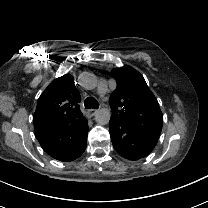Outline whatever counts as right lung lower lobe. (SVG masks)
<instances>
[{
    "instance_id": "right-lung-lower-lobe-1",
    "label": "right lung lower lobe",
    "mask_w": 208,
    "mask_h": 208,
    "mask_svg": "<svg viewBox=\"0 0 208 208\" xmlns=\"http://www.w3.org/2000/svg\"><path fill=\"white\" fill-rule=\"evenodd\" d=\"M88 123L85 117L70 126L57 130L35 134L42 149L59 161H73L86 149Z\"/></svg>"
}]
</instances>
